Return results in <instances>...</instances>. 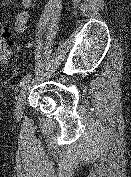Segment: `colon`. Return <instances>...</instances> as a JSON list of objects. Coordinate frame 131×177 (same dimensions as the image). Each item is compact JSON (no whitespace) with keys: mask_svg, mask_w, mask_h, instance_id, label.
Segmentation results:
<instances>
[{"mask_svg":"<svg viewBox=\"0 0 131 177\" xmlns=\"http://www.w3.org/2000/svg\"><path fill=\"white\" fill-rule=\"evenodd\" d=\"M9 55L8 33L3 28L0 31V66H4L7 63Z\"/></svg>","mask_w":131,"mask_h":177,"instance_id":"obj_1","label":"colon"}]
</instances>
